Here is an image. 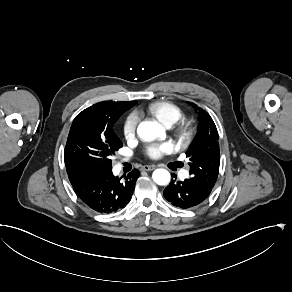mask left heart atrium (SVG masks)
<instances>
[{"label": "left heart atrium", "instance_id": "1", "mask_svg": "<svg viewBox=\"0 0 292 292\" xmlns=\"http://www.w3.org/2000/svg\"><path fill=\"white\" fill-rule=\"evenodd\" d=\"M175 147L172 142L166 141L150 145L146 150V155L153 160L162 158L164 155L174 152Z\"/></svg>", "mask_w": 292, "mask_h": 292}]
</instances>
